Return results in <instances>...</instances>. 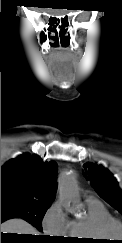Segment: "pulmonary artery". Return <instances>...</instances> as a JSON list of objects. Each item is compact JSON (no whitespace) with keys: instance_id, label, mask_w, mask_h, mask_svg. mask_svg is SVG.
<instances>
[{"instance_id":"1","label":"pulmonary artery","mask_w":122,"mask_h":243,"mask_svg":"<svg viewBox=\"0 0 122 243\" xmlns=\"http://www.w3.org/2000/svg\"><path fill=\"white\" fill-rule=\"evenodd\" d=\"M87 200H94V199H93V197H91V196H90V197H88V199H87Z\"/></svg>"}]
</instances>
